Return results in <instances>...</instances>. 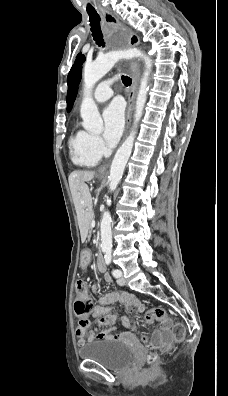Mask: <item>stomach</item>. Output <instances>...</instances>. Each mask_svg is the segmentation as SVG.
<instances>
[{
  "instance_id": "stomach-1",
  "label": "stomach",
  "mask_w": 228,
  "mask_h": 396,
  "mask_svg": "<svg viewBox=\"0 0 228 396\" xmlns=\"http://www.w3.org/2000/svg\"><path fill=\"white\" fill-rule=\"evenodd\" d=\"M99 179H100V180H103L104 177H99ZM83 253L87 254V253H88V250H87V249H84Z\"/></svg>"
}]
</instances>
